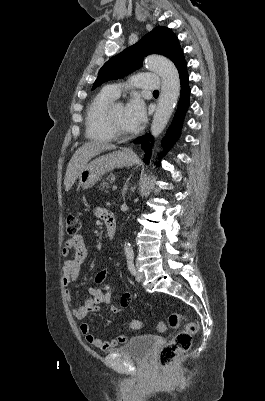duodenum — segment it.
<instances>
[{"label":"duodenum","instance_id":"obj_1","mask_svg":"<svg viewBox=\"0 0 265 401\" xmlns=\"http://www.w3.org/2000/svg\"><path fill=\"white\" fill-rule=\"evenodd\" d=\"M102 219L105 223L106 233L110 240L114 239L116 234V219L111 211L105 210L102 215Z\"/></svg>","mask_w":265,"mask_h":401}]
</instances>
